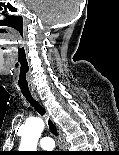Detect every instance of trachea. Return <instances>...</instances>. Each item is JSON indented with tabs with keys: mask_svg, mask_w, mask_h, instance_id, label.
<instances>
[{
	"mask_svg": "<svg viewBox=\"0 0 119 155\" xmlns=\"http://www.w3.org/2000/svg\"><path fill=\"white\" fill-rule=\"evenodd\" d=\"M20 90H22L21 96H24L26 100L30 103V105L40 114H45L44 107L33 98L31 95V90H29V87H20ZM49 130L52 134L58 136V131L56 126L51 122V120H48Z\"/></svg>",
	"mask_w": 119,
	"mask_h": 155,
	"instance_id": "trachea-1",
	"label": "trachea"
}]
</instances>
